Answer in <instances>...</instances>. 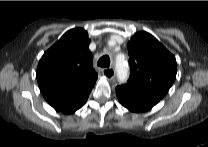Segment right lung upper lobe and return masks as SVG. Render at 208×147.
I'll return each mask as SVG.
<instances>
[{"label": "right lung upper lobe", "mask_w": 208, "mask_h": 147, "mask_svg": "<svg viewBox=\"0 0 208 147\" xmlns=\"http://www.w3.org/2000/svg\"><path fill=\"white\" fill-rule=\"evenodd\" d=\"M89 43L84 29L69 30L44 53L38 64L39 88L57 111L65 112L84 103L97 80Z\"/></svg>", "instance_id": "1"}]
</instances>
